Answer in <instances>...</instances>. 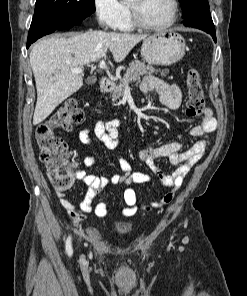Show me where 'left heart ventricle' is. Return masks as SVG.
<instances>
[{
	"label": "left heart ventricle",
	"mask_w": 247,
	"mask_h": 296,
	"mask_svg": "<svg viewBox=\"0 0 247 296\" xmlns=\"http://www.w3.org/2000/svg\"><path fill=\"white\" fill-rule=\"evenodd\" d=\"M138 11L140 18L152 25L166 22L171 13L169 0H129Z\"/></svg>",
	"instance_id": "obj_1"
}]
</instances>
